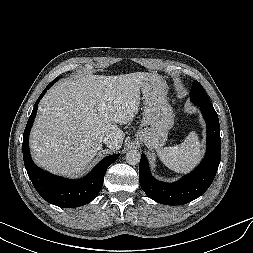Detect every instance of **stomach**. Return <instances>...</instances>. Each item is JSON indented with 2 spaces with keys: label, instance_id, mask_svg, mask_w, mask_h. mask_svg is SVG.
Masks as SVG:
<instances>
[{
  "label": "stomach",
  "instance_id": "1",
  "mask_svg": "<svg viewBox=\"0 0 253 253\" xmlns=\"http://www.w3.org/2000/svg\"><path fill=\"white\" fill-rule=\"evenodd\" d=\"M144 100L143 120L137 139L150 149L162 147L174 125V114L167 99V85L157 75L146 80L141 87Z\"/></svg>",
  "mask_w": 253,
  "mask_h": 253
}]
</instances>
